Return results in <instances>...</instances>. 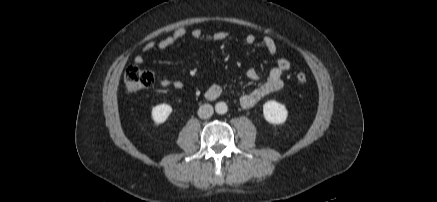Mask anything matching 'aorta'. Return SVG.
Segmentation results:
<instances>
[{
    "label": "aorta",
    "mask_w": 437,
    "mask_h": 202,
    "mask_svg": "<svg viewBox=\"0 0 437 202\" xmlns=\"http://www.w3.org/2000/svg\"><path fill=\"white\" fill-rule=\"evenodd\" d=\"M228 110V106L225 102H218L215 105V111L218 114H225Z\"/></svg>",
    "instance_id": "762f6f07"
}]
</instances>
